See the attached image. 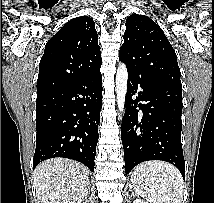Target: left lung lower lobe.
Here are the masks:
<instances>
[{
    "label": "left lung lower lobe",
    "mask_w": 214,
    "mask_h": 203,
    "mask_svg": "<svg viewBox=\"0 0 214 203\" xmlns=\"http://www.w3.org/2000/svg\"><path fill=\"white\" fill-rule=\"evenodd\" d=\"M182 106V89L128 71L121 128L126 174L141 162L163 160L176 166L185 179Z\"/></svg>",
    "instance_id": "0a47b994"
}]
</instances>
